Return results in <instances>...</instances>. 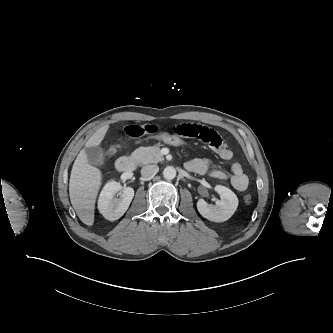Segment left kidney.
<instances>
[{
	"instance_id": "obj_1",
	"label": "left kidney",
	"mask_w": 333,
	"mask_h": 333,
	"mask_svg": "<svg viewBox=\"0 0 333 333\" xmlns=\"http://www.w3.org/2000/svg\"><path fill=\"white\" fill-rule=\"evenodd\" d=\"M215 191L220 195L215 205L208 204L205 200L199 199L197 210L206 219L213 222H224L232 217L238 206V198L229 188L216 185Z\"/></svg>"
}]
</instances>
